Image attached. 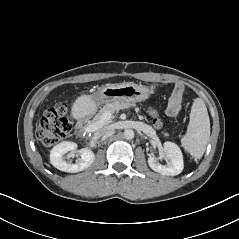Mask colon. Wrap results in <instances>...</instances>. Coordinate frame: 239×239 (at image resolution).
Here are the masks:
<instances>
[{"instance_id":"5ec220e1","label":"colon","mask_w":239,"mask_h":239,"mask_svg":"<svg viewBox=\"0 0 239 239\" xmlns=\"http://www.w3.org/2000/svg\"><path fill=\"white\" fill-rule=\"evenodd\" d=\"M150 117L151 123L156 129H161L165 125V120L158 108H153L150 111ZM71 129L72 121L67 106L58 103L44 113L36 128V137L44 145L51 146L69 134Z\"/></svg>"}]
</instances>
